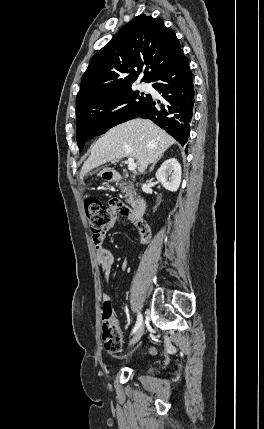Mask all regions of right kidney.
<instances>
[{"label":"right kidney","instance_id":"ca27d5eb","mask_svg":"<svg viewBox=\"0 0 264 429\" xmlns=\"http://www.w3.org/2000/svg\"><path fill=\"white\" fill-rule=\"evenodd\" d=\"M157 180L171 192H176L181 183V165L176 158H169L156 172Z\"/></svg>","mask_w":264,"mask_h":429}]
</instances>
